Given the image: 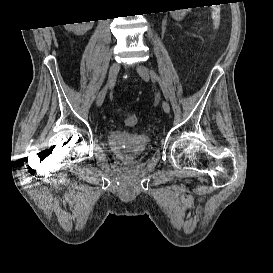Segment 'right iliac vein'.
I'll list each match as a JSON object with an SVG mask.
<instances>
[{
  "label": "right iliac vein",
  "instance_id": "63e3f726",
  "mask_svg": "<svg viewBox=\"0 0 273 273\" xmlns=\"http://www.w3.org/2000/svg\"><path fill=\"white\" fill-rule=\"evenodd\" d=\"M119 70H120V64L118 62H114L111 67H110V70H109V76H108V81H107V84L106 86L100 91V93L98 94L97 96V99H96V105L97 106H101L104 99H105V96H106V93H107V90L109 87H111L113 85V83L115 82L116 80V77L119 73Z\"/></svg>",
  "mask_w": 273,
  "mask_h": 273
}]
</instances>
